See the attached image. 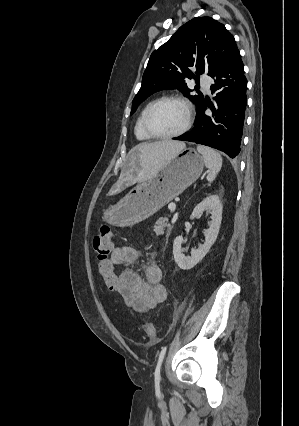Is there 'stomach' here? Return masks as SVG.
I'll use <instances>...</instances> for the list:
<instances>
[{
    "mask_svg": "<svg viewBox=\"0 0 299 426\" xmlns=\"http://www.w3.org/2000/svg\"><path fill=\"white\" fill-rule=\"evenodd\" d=\"M204 164L203 157L195 149L184 148L155 177L138 184L117 204L105 210L103 220L120 227L145 220L196 181Z\"/></svg>",
    "mask_w": 299,
    "mask_h": 426,
    "instance_id": "stomach-1",
    "label": "stomach"
}]
</instances>
